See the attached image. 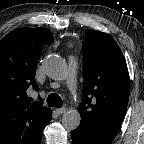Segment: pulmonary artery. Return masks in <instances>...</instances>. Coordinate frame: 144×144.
Segmentation results:
<instances>
[{
	"label": "pulmonary artery",
	"instance_id": "1",
	"mask_svg": "<svg viewBox=\"0 0 144 144\" xmlns=\"http://www.w3.org/2000/svg\"><path fill=\"white\" fill-rule=\"evenodd\" d=\"M76 68H77V61L73 57L69 58L68 63V78L71 81H74L76 78Z\"/></svg>",
	"mask_w": 144,
	"mask_h": 144
}]
</instances>
